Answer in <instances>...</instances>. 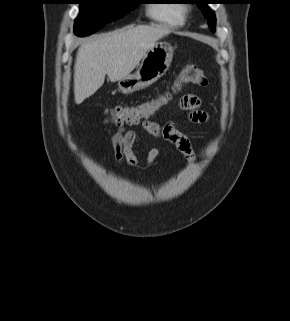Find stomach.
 Listing matches in <instances>:
<instances>
[{
	"instance_id": "stomach-1",
	"label": "stomach",
	"mask_w": 290,
	"mask_h": 321,
	"mask_svg": "<svg viewBox=\"0 0 290 321\" xmlns=\"http://www.w3.org/2000/svg\"><path fill=\"white\" fill-rule=\"evenodd\" d=\"M173 48L165 42H158L147 51L134 74L119 80V89L132 93L144 89L159 80L167 72L172 58Z\"/></svg>"
}]
</instances>
